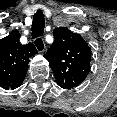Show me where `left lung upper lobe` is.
Segmentation results:
<instances>
[{
  "mask_svg": "<svg viewBox=\"0 0 117 117\" xmlns=\"http://www.w3.org/2000/svg\"><path fill=\"white\" fill-rule=\"evenodd\" d=\"M55 41L48 50L46 58L53 68L55 79L60 87H75L82 83L90 71L91 48L80 34L71 32L65 27L54 29ZM59 54L65 59L57 65L53 58Z\"/></svg>",
  "mask_w": 117,
  "mask_h": 117,
  "instance_id": "5c2ea615",
  "label": "left lung upper lobe"
}]
</instances>
